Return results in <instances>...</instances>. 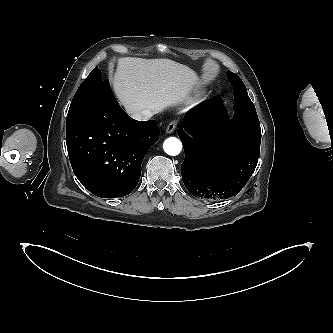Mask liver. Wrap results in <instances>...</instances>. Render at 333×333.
<instances>
[{
	"mask_svg": "<svg viewBox=\"0 0 333 333\" xmlns=\"http://www.w3.org/2000/svg\"><path fill=\"white\" fill-rule=\"evenodd\" d=\"M198 84L195 71L170 59L120 58L113 77L115 95L130 115L175 106Z\"/></svg>",
	"mask_w": 333,
	"mask_h": 333,
	"instance_id": "liver-1",
	"label": "liver"
}]
</instances>
